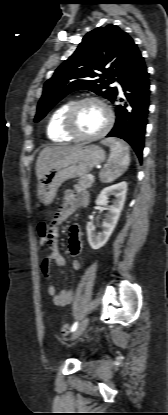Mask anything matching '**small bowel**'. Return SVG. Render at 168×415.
<instances>
[{"instance_id": "c3829d8e", "label": "small bowel", "mask_w": 168, "mask_h": 415, "mask_svg": "<svg viewBox=\"0 0 168 415\" xmlns=\"http://www.w3.org/2000/svg\"><path fill=\"white\" fill-rule=\"evenodd\" d=\"M89 203V196L85 192L76 193L71 190H67L64 193L63 202L53 217L50 223H47L49 236L46 244L49 247L48 255L43 259L41 263V271L47 280L51 278L52 264L64 267L66 265L65 258L61 255L58 246V230L59 225L70 215H72L78 208L86 207ZM68 250L70 255L78 256L82 250V235L80 227L77 224H72L68 229ZM72 267L75 270L81 269V263L78 260H74ZM48 293L53 299V303L56 306L64 307L69 305L74 297L73 289L62 290L57 292L54 285L49 283Z\"/></svg>"}]
</instances>
